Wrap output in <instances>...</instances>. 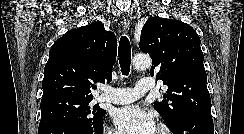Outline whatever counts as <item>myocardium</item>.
Masks as SVG:
<instances>
[{
  "mask_svg": "<svg viewBox=\"0 0 244 134\" xmlns=\"http://www.w3.org/2000/svg\"><path fill=\"white\" fill-rule=\"evenodd\" d=\"M156 129L161 133V134H172L171 130L164 124H158Z\"/></svg>",
  "mask_w": 244,
  "mask_h": 134,
  "instance_id": "f54148a6",
  "label": "myocardium"
}]
</instances>
